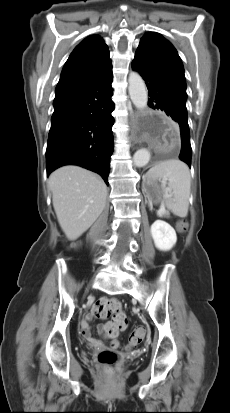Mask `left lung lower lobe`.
<instances>
[{
  "mask_svg": "<svg viewBox=\"0 0 230 413\" xmlns=\"http://www.w3.org/2000/svg\"><path fill=\"white\" fill-rule=\"evenodd\" d=\"M132 68L145 80L150 96L149 107L164 111L178 123L182 142L179 158L190 167L192 152L187 121L186 89L159 64L143 55L135 53Z\"/></svg>",
  "mask_w": 230,
  "mask_h": 413,
  "instance_id": "0a47b994",
  "label": "left lung lower lobe"
}]
</instances>
